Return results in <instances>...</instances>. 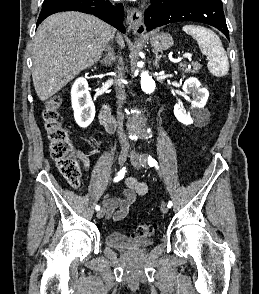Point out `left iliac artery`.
Masks as SVG:
<instances>
[{
    "instance_id": "obj_1",
    "label": "left iliac artery",
    "mask_w": 259,
    "mask_h": 294,
    "mask_svg": "<svg viewBox=\"0 0 259 294\" xmlns=\"http://www.w3.org/2000/svg\"><path fill=\"white\" fill-rule=\"evenodd\" d=\"M140 160L143 161L144 163H145V161H147V163L150 167L154 166L156 169L159 170V166H158L157 161L154 158H152L151 156H145V159H144V157H142ZM172 205H173V203L171 201H169L168 208H171Z\"/></svg>"
}]
</instances>
